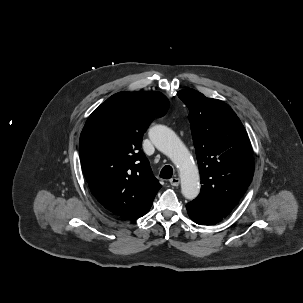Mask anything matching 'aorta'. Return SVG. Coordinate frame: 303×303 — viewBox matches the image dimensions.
Returning a JSON list of instances; mask_svg holds the SVG:
<instances>
[{
	"label": "aorta",
	"instance_id": "1",
	"mask_svg": "<svg viewBox=\"0 0 303 303\" xmlns=\"http://www.w3.org/2000/svg\"><path fill=\"white\" fill-rule=\"evenodd\" d=\"M149 138L155 147L177 166L183 196L189 200L195 199L200 192L199 171L183 142L173 130L164 125L151 127Z\"/></svg>",
	"mask_w": 303,
	"mask_h": 303
}]
</instances>
